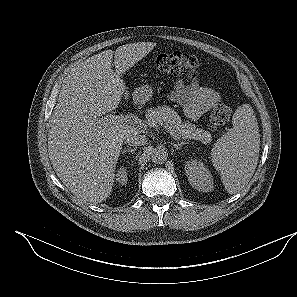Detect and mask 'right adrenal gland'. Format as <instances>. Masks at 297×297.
<instances>
[{"instance_id": "right-adrenal-gland-1", "label": "right adrenal gland", "mask_w": 297, "mask_h": 297, "mask_svg": "<svg viewBox=\"0 0 297 297\" xmlns=\"http://www.w3.org/2000/svg\"><path fill=\"white\" fill-rule=\"evenodd\" d=\"M136 147L135 148H125V149H123V151H122V154H124V153H131V154H134L135 153V151H136Z\"/></svg>"}]
</instances>
